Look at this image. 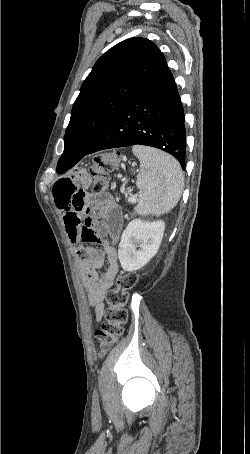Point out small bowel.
Listing matches in <instances>:
<instances>
[{
	"instance_id": "small-bowel-1",
	"label": "small bowel",
	"mask_w": 250,
	"mask_h": 454,
	"mask_svg": "<svg viewBox=\"0 0 250 454\" xmlns=\"http://www.w3.org/2000/svg\"><path fill=\"white\" fill-rule=\"evenodd\" d=\"M91 179L80 171L74 177L59 179L53 187L55 204L61 212L67 236L78 257L81 278L97 321L104 314V298L118 273L114 243L119 239L123 215L108 193L86 191ZM84 243L101 245V249ZM106 263L102 273H99Z\"/></svg>"
}]
</instances>
